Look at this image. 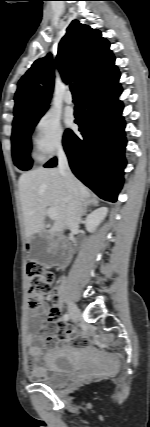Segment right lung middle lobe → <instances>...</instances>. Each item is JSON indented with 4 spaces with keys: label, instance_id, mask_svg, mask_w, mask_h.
Listing matches in <instances>:
<instances>
[{
    "label": "right lung middle lobe",
    "instance_id": "1",
    "mask_svg": "<svg viewBox=\"0 0 150 427\" xmlns=\"http://www.w3.org/2000/svg\"><path fill=\"white\" fill-rule=\"evenodd\" d=\"M45 111L13 123L12 156L14 164L21 170L32 166L30 135Z\"/></svg>",
    "mask_w": 150,
    "mask_h": 427
}]
</instances>
